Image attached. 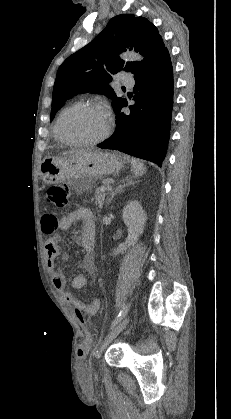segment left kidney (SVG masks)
Wrapping results in <instances>:
<instances>
[{"label":"left kidney","mask_w":231,"mask_h":419,"mask_svg":"<svg viewBox=\"0 0 231 419\" xmlns=\"http://www.w3.org/2000/svg\"><path fill=\"white\" fill-rule=\"evenodd\" d=\"M122 217L128 227V237L125 243H121L117 249H114V255L123 254L127 247L137 242L138 236L143 233L147 220L146 214L138 201L127 204L123 209Z\"/></svg>","instance_id":"1"}]
</instances>
